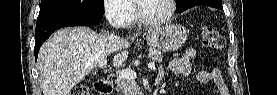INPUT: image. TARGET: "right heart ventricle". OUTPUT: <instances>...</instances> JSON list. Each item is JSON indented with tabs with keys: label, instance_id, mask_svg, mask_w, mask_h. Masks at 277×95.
Returning <instances> with one entry per match:
<instances>
[{
	"label": "right heart ventricle",
	"instance_id": "right-heart-ventricle-1",
	"mask_svg": "<svg viewBox=\"0 0 277 95\" xmlns=\"http://www.w3.org/2000/svg\"><path fill=\"white\" fill-rule=\"evenodd\" d=\"M134 21V17H133V15H132V13L130 14V17H129V19H128V22H133Z\"/></svg>",
	"mask_w": 277,
	"mask_h": 95
}]
</instances>
